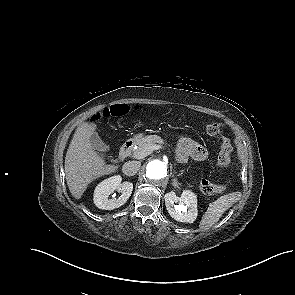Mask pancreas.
I'll use <instances>...</instances> for the list:
<instances>
[{"label":"pancreas","mask_w":295,"mask_h":295,"mask_svg":"<svg viewBox=\"0 0 295 295\" xmlns=\"http://www.w3.org/2000/svg\"><path fill=\"white\" fill-rule=\"evenodd\" d=\"M164 140L157 135H150L143 137L137 144L138 148L134 150V156L137 154H145V156L149 155L152 151H150V147L156 144H163Z\"/></svg>","instance_id":"cf45deb5"}]
</instances>
